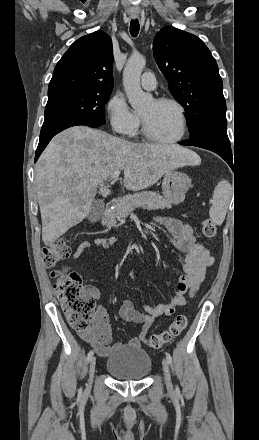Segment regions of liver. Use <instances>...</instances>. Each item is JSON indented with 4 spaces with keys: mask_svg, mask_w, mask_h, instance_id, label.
Here are the masks:
<instances>
[{
    "mask_svg": "<svg viewBox=\"0 0 259 440\" xmlns=\"http://www.w3.org/2000/svg\"><path fill=\"white\" fill-rule=\"evenodd\" d=\"M200 162L178 145L132 143L87 126L62 131L35 167L44 244L53 245L88 215L98 188L102 196L110 194L104 181L111 173L123 170L126 189L138 191L167 172Z\"/></svg>",
    "mask_w": 259,
    "mask_h": 440,
    "instance_id": "obj_1",
    "label": "liver"
}]
</instances>
